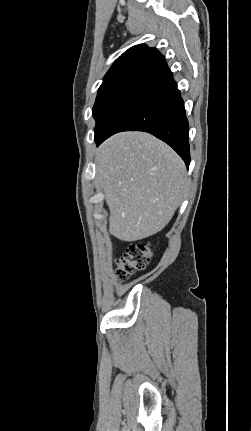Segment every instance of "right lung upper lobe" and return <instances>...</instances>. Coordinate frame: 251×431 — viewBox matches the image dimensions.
Instances as JSON below:
<instances>
[{
	"label": "right lung upper lobe",
	"mask_w": 251,
	"mask_h": 431,
	"mask_svg": "<svg viewBox=\"0 0 251 431\" xmlns=\"http://www.w3.org/2000/svg\"><path fill=\"white\" fill-rule=\"evenodd\" d=\"M158 53L159 51L156 48L148 47L145 44L135 45L115 61L104 78L109 77L112 73L127 65L145 64L148 66Z\"/></svg>",
	"instance_id": "right-lung-upper-lobe-1"
}]
</instances>
